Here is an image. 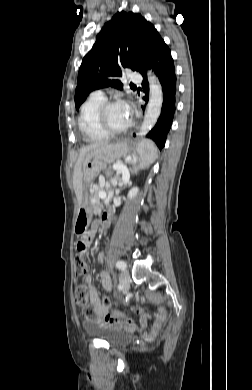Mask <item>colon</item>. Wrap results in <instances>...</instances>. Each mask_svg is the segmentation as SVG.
I'll return each mask as SVG.
<instances>
[{"label":"colon","mask_w":252,"mask_h":390,"mask_svg":"<svg viewBox=\"0 0 252 390\" xmlns=\"http://www.w3.org/2000/svg\"><path fill=\"white\" fill-rule=\"evenodd\" d=\"M77 232L80 233L83 238L78 241L79 251H77L79 252V254L75 256L74 271L76 275H83L87 269V264L83 254L85 253L88 245L86 224L84 222L77 227ZM74 296L76 303L84 307V314L88 318L93 317L96 311L92 305L88 304V287L85 283H81L76 287ZM103 302L106 306H111V303L107 297L103 298ZM125 319V314L115 310L107 314L105 317L101 318V321L106 324L121 325L125 322ZM161 322V320H157V322L154 324L152 329L153 333L158 332Z\"/></svg>","instance_id":"5ec220e1"}]
</instances>
